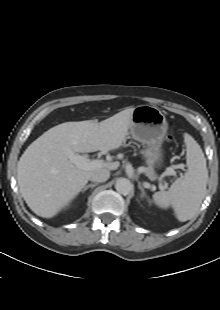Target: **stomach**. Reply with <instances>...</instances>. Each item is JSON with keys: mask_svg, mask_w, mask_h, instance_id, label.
Instances as JSON below:
<instances>
[{"mask_svg": "<svg viewBox=\"0 0 220 310\" xmlns=\"http://www.w3.org/2000/svg\"><path fill=\"white\" fill-rule=\"evenodd\" d=\"M167 128L166 117L157 107L139 105L134 108L129 133L146 146L142 155L149 168H160L163 164L162 144Z\"/></svg>", "mask_w": 220, "mask_h": 310, "instance_id": "0dacf381", "label": "stomach"}]
</instances>
